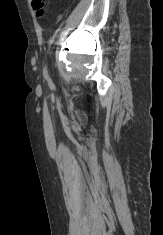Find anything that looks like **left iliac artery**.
Instances as JSON below:
<instances>
[{"label": "left iliac artery", "instance_id": "obj_1", "mask_svg": "<svg viewBox=\"0 0 163 235\" xmlns=\"http://www.w3.org/2000/svg\"><path fill=\"white\" fill-rule=\"evenodd\" d=\"M43 75L50 82V78H49V75H48V70H47V66L46 65L43 68Z\"/></svg>", "mask_w": 163, "mask_h": 235}]
</instances>
